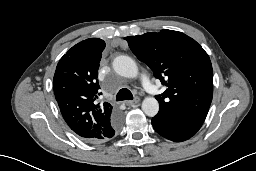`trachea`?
I'll use <instances>...</instances> for the list:
<instances>
[{
    "mask_svg": "<svg viewBox=\"0 0 256 171\" xmlns=\"http://www.w3.org/2000/svg\"><path fill=\"white\" fill-rule=\"evenodd\" d=\"M133 95L130 90L127 88H122L116 95V101H123V100H132Z\"/></svg>",
    "mask_w": 256,
    "mask_h": 171,
    "instance_id": "obj_1",
    "label": "trachea"
}]
</instances>
